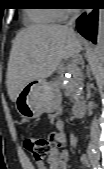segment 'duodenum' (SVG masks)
Masks as SVG:
<instances>
[{"mask_svg": "<svg viewBox=\"0 0 104 169\" xmlns=\"http://www.w3.org/2000/svg\"><path fill=\"white\" fill-rule=\"evenodd\" d=\"M85 111V107L84 104L82 102H77L74 106H73V114L75 116L76 119H80Z\"/></svg>", "mask_w": 104, "mask_h": 169, "instance_id": "obj_1", "label": "duodenum"}]
</instances>
